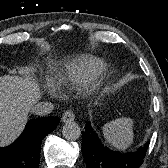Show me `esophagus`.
I'll use <instances>...</instances> for the list:
<instances>
[{"label": "esophagus", "instance_id": "34e87169", "mask_svg": "<svg viewBox=\"0 0 168 168\" xmlns=\"http://www.w3.org/2000/svg\"><path fill=\"white\" fill-rule=\"evenodd\" d=\"M74 119H75V115H74L73 111H71V110L65 111L62 115V121L64 123L72 122Z\"/></svg>", "mask_w": 168, "mask_h": 168}]
</instances>
